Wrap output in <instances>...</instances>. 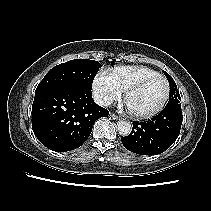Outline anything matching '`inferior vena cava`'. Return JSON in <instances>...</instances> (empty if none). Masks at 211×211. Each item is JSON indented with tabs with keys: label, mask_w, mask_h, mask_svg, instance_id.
<instances>
[{
	"label": "inferior vena cava",
	"mask_w": 211,
	"mask_h": 211,
	"mask_svg": "<svg viewBox=\"0 0 211 211\" xmlns=\"http://www.w3.org/2000/svg\"><path fill=\"white\" fill-rule=\"evenodd\" d=\"M94 101L100 106H109L112 104V99L103 97L101 95H95Z\"/></svg>",
	"instance_id": "obj_1"
}]
</instances>
